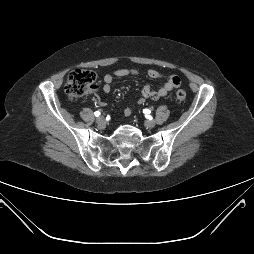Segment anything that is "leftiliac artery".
Here are the masks:
<instances>
[{
    "mask_svg": "<svg viewBox=\"0 0 254 254\" xmlns=\"http://www.w3.org/2000/svg\"><path fill=\"white\" fill-rule=\"evenodd\" d=\"M143 113H145V114H146V116H147V118H149V120H151V119H152L151 117H149V115H147V114H149V113H150V110H148V109H144V110H143Z\"/></svg>",
    "mask_w": 254,
    "mask_h": 254,
    "instance_id": "1",
    "label": "left iliac artery"
}]
</instances>
